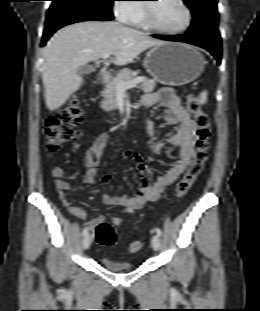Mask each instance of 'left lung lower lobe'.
Here are the masks:
<instances>
[{
  "label": "left lung lower lobe",
  "instance_id": "obj_1",
  "mask_svg": "<svg viewBox=\"0 0 260 311\" xmlns=\"http://www.w3.org/2000/svg\"><path fill=\"white\" fill-rule=\"evenodd\" d=\"M154 37L163 40L185 42L203 47L217 59L218 64H220L221 62V38H215L212 36L199 35L188 32L185 35H175V36L154 35Z\"/></svg>",
  "mask_w": 260,
  "mask_h": 311
}]
</instances>
